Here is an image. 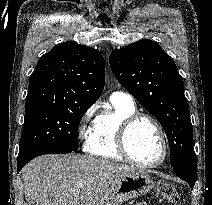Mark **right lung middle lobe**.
Here are the masks:
<instances>
[{
    "label": "right lung middle lobe",
    "instance_id": "dd1d6c3e",
    "mask_svg": "<svg viewBox=\"0 0 212 205\" xmlns=\"http://www.w3.org/2000/svg\"><path fill=\"white\" fill-rule=\"evenodd\" d=\"M90 106L26 104L18 156L42 147L77 151L79 147L77 129Z\"/></svg>",
    "mask_w": 212,
    "mask_h": 205
}]
</instances>
